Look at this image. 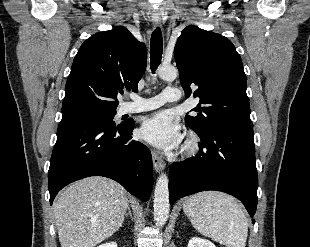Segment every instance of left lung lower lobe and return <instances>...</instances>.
Returning <instances> with one entry per match:
<instances>
[{
	"label": "left lung lower lobe",
	"mask_w": 310,
	"mask_h": 247,
	"mask_svg": "<svg viewBox=\"0 0 310 247\" xmlns=\"http://www.w3.org/2000/svg\"><path fill=\"white\" fill-rule=\"evenodd\" d=\"M253 135L251 125L234 124L199 136V153L170 167V204L200 191H222L241 200L253 217L258 188Z\"/></svg>",
	"instance_id": "left-lung-lower-lobe-1"
}]
</instances>
